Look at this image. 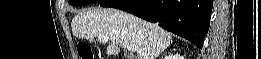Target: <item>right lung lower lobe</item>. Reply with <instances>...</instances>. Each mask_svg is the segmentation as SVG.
Here are the masks:
<instances>
[{
  "label": "right lung lower lobe",
  "instance_id": "right-lung-lower-lobe-1",
  "mask_svg": "<svg viewBox=\"0 0 261 59\" xmlns=\"http://www.w3.org/2000/svg\"><path fill=\"white\" fill-rule=\"evenodd\" d=\"M117 8L156 23L202 48L213 7L212 0H104Z\"/></svg>",
  "mask_w": 261,
  "mask_h": 59
}]
</instances>
